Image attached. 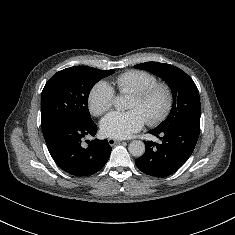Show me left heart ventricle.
I'll return each instance as SVG.
<instances>
[{
  "label": "left heart ventricle",
  "mask_w": 235,
  "mask_h": 235,
  "mask_svg": "<svg viewBox=\"0 0 235 235\" xmlns=\"http://www.w3.org/2000/svg\"><path fill=\"white\" fill-rule=\"evenodd\" d=\"M163 103L164 99L161 94L156 95L148 102H142L136 97L132 96L128 108L131 110H140L145 115V117L149 119L154 113L161 109Z\"/></svg>",
  "instance_id": "left-heart-ventricle-1"
}]
</instances>
